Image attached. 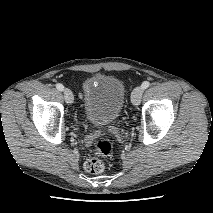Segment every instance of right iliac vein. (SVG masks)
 Listing matches in <instances>:
<instances>
[{
	"label": "right iliac vein",
	"instance_id": "1",
	"mask_svg": "<svg viewBox=\"0 0 213 213\" xmlns=\"http://www.w3.org/2000/svg\"><path fill=\"white\" fill-rule=\"evenodd\" d=\"M63 94H64L65 102L67 104H72L74 101V96H73L72 91L70 89L66 88V89H64Z\"/></svg>",
	"mask_w": 213,
	"mask_h": 213
}]
</instances>
